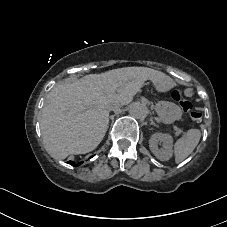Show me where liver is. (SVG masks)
<instances>
[{
	"mask_svg": "<svg viewBox=\"0 0 227 227\" xmlns=\"http://www.w3.org/2000/svg\"><path fill=\"white\" fill-rule=\"evenodd\" d=\"M151 73L158 72L146 67L118 68L52 88L40 121L48 153L65 159L93 151L107 131V107L115 90L131 98Z\"/></svg>",
	"mask_w": 227,
	"mask_h": 227,
	"instance_id": "1",
	"label": "liver"
}]
</instances>
